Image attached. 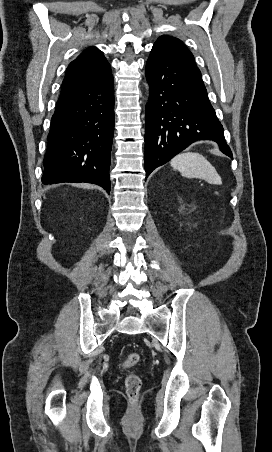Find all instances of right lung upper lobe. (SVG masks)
<instances>
[{"instance_id": "1", "label": "right lung upper lobe", "mask_w": 272, "mask_h": 452, "mask_svg": "<svg viewBox=\"0 0 272 452\" xmlns=\"http://www.w3.org/2000/svg\"><path fill=\"white\" fill-rule=\"evenodd\" d=\"M111 76L110 65L102 52L90 47L69 64L60 96L99 85Z\"/></svg>"}]
</instances>
